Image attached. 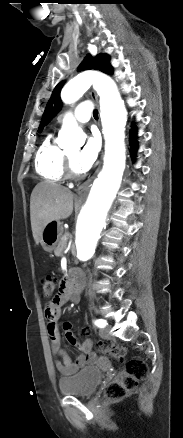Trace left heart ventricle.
<instances>
[{
  "label": "left heart ventricle",
  "mask_w": 183,
  "mask_h": 438,
  "mask_svg": "<svg viewBox=\"0 0 183 438\" xmlns=\"http://www.w3.org/2000/svg\"><path fill=\"white\" fill-rule=\"evenodd\" d=\"M77 155H78V151H73V152L68 153V156H69V158L72 160L73 165H74V168H75L76 170H78L77 167L75 166V159H76ZM78 171H79V170H78Z\"/></svg>",
  "instance_id": "b2bd125f"
}]
</instances>
